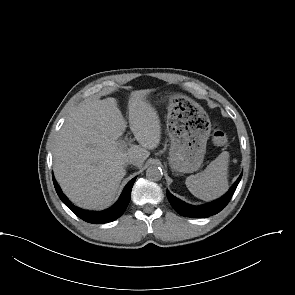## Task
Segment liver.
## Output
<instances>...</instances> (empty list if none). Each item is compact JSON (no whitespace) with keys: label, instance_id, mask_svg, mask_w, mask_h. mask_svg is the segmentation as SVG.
Listing matches in <instances>:
<instances>
[{"label":"liver","instance_id":"liver-1","mask_svg":"<svg viewBox=\"0 0 295 295\" xmlns=\"http://www.w3.org/2000/svg\"><path fill=\"white\" fill-rule=\"evenodd\" d=\"M153 90H137L130 95L129 124L139 145L126 150L118 139L126 130L117 100L108 97L89 101L66 119L53 152L54 175L61 189L78 207L104 209L113 201L121 180L126 175L129 154L141 162L149 157L161 139L160 118L146 100Z\"/></svg>","mask_w":295,"mask_h":295}]
</instances>
